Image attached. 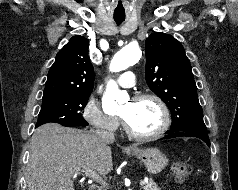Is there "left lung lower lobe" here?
<instances>
[{
    "label": "left lung lower lobe",
    "instance_id": "left-lung-lower-lobe-1",
    "mask_svg": "<svg viewBox=\"0 0 238 190\" xmlns=\"http://www.w3.org/2000/svg\"><path fill=\"white\" fill-rule=\"evenodd\" d=\"M168 135L164 139L173 138L176 136H189L197 137L203 140L208 146H210V140L208 138V132L206 127L200 128H179L176 130H169L166 132Z\"/></svg>",
    "mask_w": 238,
    "mask_h": 190
}]
</instances>
